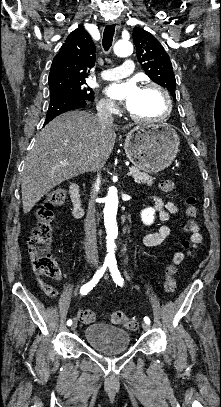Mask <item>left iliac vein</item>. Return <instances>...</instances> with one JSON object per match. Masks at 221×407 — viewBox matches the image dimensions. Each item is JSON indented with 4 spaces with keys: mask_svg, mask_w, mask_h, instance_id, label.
Here are the masks:
<instances>
[{
    "mask_svg": "<svg viewBox=\"0 0 221 407\" xmlns=\"http://www.w3.org/2000/svg\"><path fill=\"white\" fill-rule=\"evenodd\" d=\"M142 328H143V330L148 331L150 329V325L144 322L142 324Z\"/></svg>",
    "mask_w": 221,
    "mask_h": 407,
    "instance_id": "left-iliac-vein-1",
    "label": "left iliac vein"
}]
</instances>
